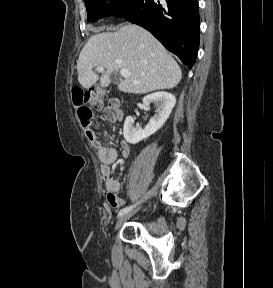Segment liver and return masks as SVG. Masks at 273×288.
I'll use <instances>...</instances> for the list:
<instances>
[{"label":"liver","mask_w":273,"mask_h":288,"mask_svg":"<svg viewBox=\"0 0 273 288\" xmlns=\"http://www.w3.org/2000/svg\"><path fill=\"white\" fill-rule=\"evenodd\" d=\"M99 31L95 30L77 61L78 81L84 88H91L98 80L101 87H108L111 74L122 68L131 73L119 84L125 93L171 89L181 81L179 65L147 30L127 24L116 32ZM98 66L106 69L100 77L93 71Z\"/></svg>","instance_id":"obj_1"}]
</instances>
